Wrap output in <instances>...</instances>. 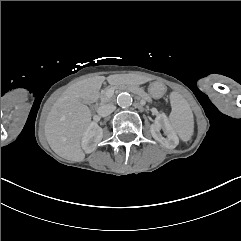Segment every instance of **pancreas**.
Masks as SVG:
<instances>
[{
	"mask_svg": "<svg viewBox=\"0 0 241 241\" xmlns=\"http://www.w3.org/2000/svg\"><path fill=\"white\" fill-rule=\"evenodd\" d=\"M130 92H134V94L136 95H140V96H143L147 99V101H152L153 97L152 95H150V93H148L147 91L145 90H141L139 88H135V87H130ZM107 89H104L101 91V94H100V99H101V103L104 104V103H107V102H111L112 101V97H108L107 94Z\"/></svg>",
	"mask_w": 241,
	"mask_h": 241,
	"instance_id": "cf45deb5",
	"label": "pancreas"
}]
</instances>
